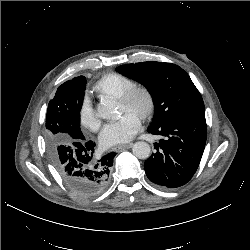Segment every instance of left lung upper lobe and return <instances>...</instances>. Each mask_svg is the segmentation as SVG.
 I'll return each mask as SVG.
<instances>
[{
	"label": "left lung upper lobe",
	"instance_id": "1",
	"mask_svg": "<svg viewBox=\"0 0 250 250\" xmlns=\"http://www.w3.org/2000/svg\"><path fill=\"white\" fill-rule=\"evenodd\" d=\"M116 70L142 83L150 92L155 106L150 127H158L183 117L205 114L201 94L189 75L175 64L148 61L125 64Z\"/></svg>",
	"mask_w": 250,
	"mask_h": 250
}]
</instances>
